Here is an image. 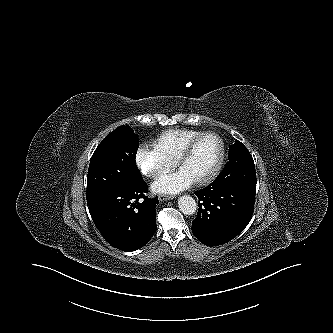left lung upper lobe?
Masks as SVG:
<instances>
[{
  "instance_id": "obj_1",
  "label": "left lung upper lobe",
  "mask_w": 333,
  "mask_h": 333,
  "mask_svg": "<svg viewBox=\"0 0 333 333\" xmlns=\"http://www.w3.org/2000/svg\"><path fill=\"white\" fill-rule=\"evenodd\" d=\"M228 159L229 162L226 164L225 168L229 167L236 175L235 180L237 185L256 191L257 181L255 165L245 145L236 140V142L229 147Z\"/></svg>"
}]
</instances>
